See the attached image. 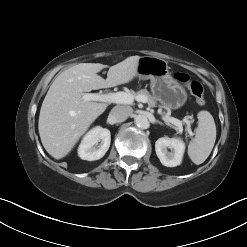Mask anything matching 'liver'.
Masks as SVG:
<instances>
[{"label":"liver","instance_id":"1","mask_svg":"<svg viewBox=\"0 0 247 247\" xmlns=\"http://www.w3.org/2000/svg\"><path fill=\"white\" fill-rule=\"evenodd\" d=\"M139 59L140 56H131L109 67L107 79L97 74L106 65L80 63L54 80L42 103L38 122L41 142L52 157H65L108 106L84 101V92L132 81L137 76Z\"/></svg>","mask_w":247,"mask_h":247}]
</instances>
